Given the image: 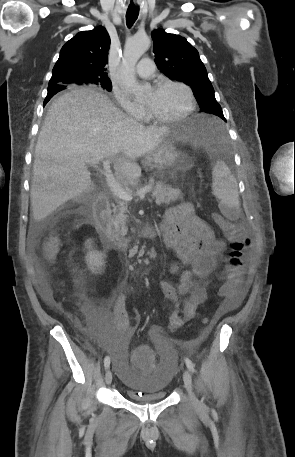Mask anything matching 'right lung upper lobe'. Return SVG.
I'll return each instance as SVG.
<instances>
[{"instance_id": "1", "label": "right lung upper lobe", "mask_w": 295, "mask_h": 457, "mask_svg": "<svg viewBox=\"0 0 295 457\" xmlns=\"http://www.w3.org/2000/svg\"><path fill=\"white\" fill-rule=\"evenodd\" d=\"M109 47L110 37L102 26L77 33L62 47L48 87L109 80L105 68Z\"/></svg>"}]
</instances>
